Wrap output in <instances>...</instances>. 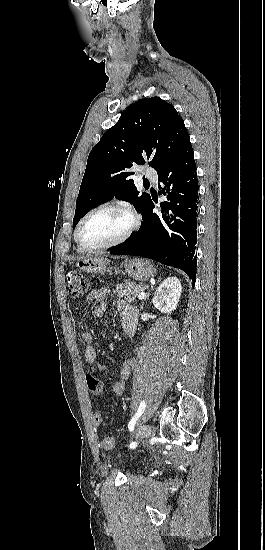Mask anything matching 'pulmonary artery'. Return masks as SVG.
<instances>
[{
    "label": "pulmonary artery",
    "mask_w": 265,
    "mask_h": 550,
    "mask_svg": "<svg viewBox=\"0 0 265 550\" xmlns=\"http://www.w3.org/2000/svg\"><path fill=\"white\" fill-rule=\"evenodd\" d=\"M146 176H147L149 179L153 180V181H156V180H157V173H156V171L153 170V169L147 170Z\"/></svg>",
    "instance_id": "e3ab8cb5"
}]
</instances>
